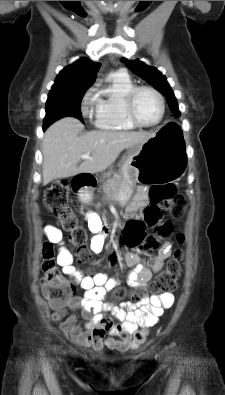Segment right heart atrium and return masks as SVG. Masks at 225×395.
Masks as SVG:
<instances>
[{
  "label": "right heart atrium",
  "instance_id": "right-heart-atrium-1",
  "mask_svg": "<svg viewBox=\"0 0 225 395\" xmlns=\"http://www.w3.org/2000/svg\"><path fill=\"white\" fill-rule=\"evenodd\" d=\"M91 100H92V95H91V93H88L85 96L84 101H83V105H82V112H83L84 115H88L89 114L88 105H89V102Z\"/></svg>",
  "mask_w": 225,
  "mask_h": 395
}]
</instances>
